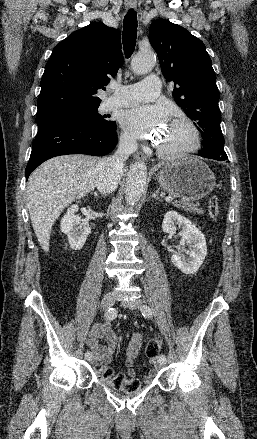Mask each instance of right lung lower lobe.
I'll return each mask as SVG.
<instances>
[{"instance_id": "right-lung-lower-lobe-1", "label": "right lung lower lobe", "mask_w": 257, "mask_h": 439, "mask_svg": "<svg viewBox=\"0 0 257 439\" xmlns=\"http://www.w3.org/2000/svg\"><path fill=\"white\" fill-rule=\"evenodd\" d=\"M38 126L25 170L26 180L37 166L52 157L66 154L104 156L117 144L116 124L96 127L77 120L57 119Z\"/></svg>"}]
</instances>
